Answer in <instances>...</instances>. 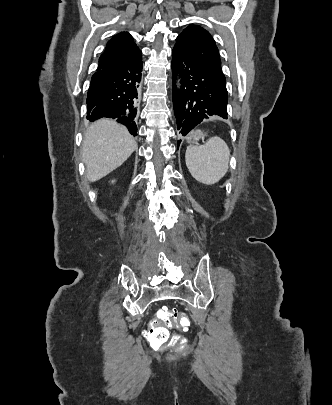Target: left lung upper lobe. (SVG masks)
<instances>
[{
    "label": "left lung upper lobe",
    "mask_w": 332,
    "mask_h": 405,
    "mask_svg": "<svg viewBox=\"0 0 332 405\" xmlns=\"http://www.w3.org/2000/svg\"><path fill=\"white\" fill-rule=\"evenodd\" d=\"M175 47L210 67L226 83L218 48L208 31L200 26L190 25L176 38Z\"/></svg>",
    "instance_id": "left-lung-upper-lobe-1"
}]
</instances>
